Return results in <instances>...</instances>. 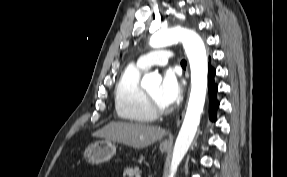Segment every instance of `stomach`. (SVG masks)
<instances>
[{
  "label": "stomach",
  "mask_w": 287,
  "mask_h": 177,
  "mask_svg": "<svg viewBox=\"0 0 287 177\" xmlns=\"http://www.w3.org/2000/svg\"><path fill=\"white\" fill-rule=\"evenodd\" d=\"M160 150L166 152L169 146L160 144ZM116 153V146L110 140H101L90 144L84 152L85 160L90 164H99L110 160Z\"/></svg>",
  "instance_id": "0dacf381"
}]
</instances>
